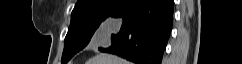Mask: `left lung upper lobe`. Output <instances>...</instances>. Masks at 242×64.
<instances>
[{
	"label": "left lung upper lobe",
	"instance_id": "5c2ea615",
	"mask_svg": "<svg viewBox=\"0 0 242 64\" xmlns=\"http://www.w3.org/2000/svg\"><path fill=\"white\" fill-rule=\"evenodd\" d=\"M125 1L127 0H78L71 14L61 64H66L82 50L100 24Z\"/></svg>",
	"mask_w": 242,
	"mask_h": 64
}]
</instances>
